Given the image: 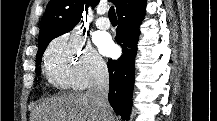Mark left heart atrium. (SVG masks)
I'll use <instances>...</instances> for the list:
<instances>
[{"label": "left heart atrium", "instance_id": "obj_1", "mask_svg": "<svg viewBox=\"0 0 217 121\" xmlns=\"http://www.w3.org/2000/svg\"><path fill=\"white\" fill-rule=\"evenodd\" d=\"M102 49H103V51H104L105 53L111 54V53L114 52L115 47H114V45L111 43L110 40H107V41H105V42L102 44Z\"/></svg>", "mask_w": 217, "mask_h": 121}]
</instances>
